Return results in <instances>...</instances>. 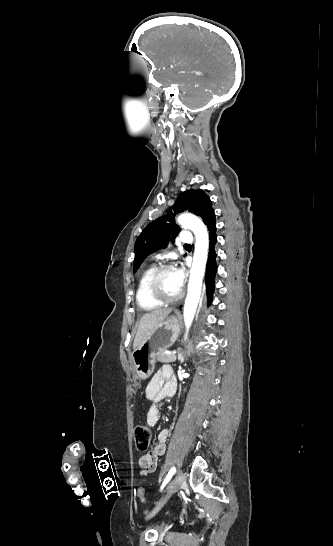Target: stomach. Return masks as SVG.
Listing matches in <instances>:
<instances>
[{
  "instance_id": "stomach-1",
  "label": "stomach",
  "mask_w": 333,
  "mask_h": 546,
  "mask_svg": "<svg viewBox=\"0 0 333 546\" xmlns=\"http://www.w3.org/2000/svg\"><path fill=\"white\" fill-rule=\"evenodd\" d=\"M178 333V318L169 316L156 327L146 342L133 351V367L138 378L147 379L151 376L157 355L174 344Z\"/></svg>"
}]
</instances>
